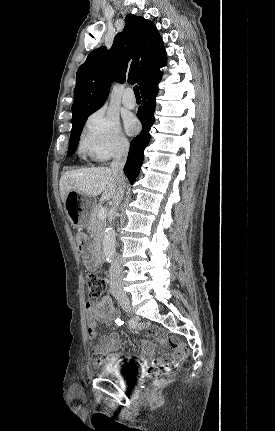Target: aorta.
I'll use <instances>...</instances> for the list:
<instances>
[{
	"label": "aorta",
	"mask_w": 275,
	"mask_h": 431,
	"mask_svg": "<svg viewBox=\"0 0 275 431\" xmlns=\"http://www.w3.org/2000/svg\"><path fill=\"white\" fill-rule=\"evenodd\" d=\"M103 253L107 262H113L116 253V234L111 227L107 228L104 233Z\"/></svg>",
	"instance_id": "aorta-1"
}]
</instances>
